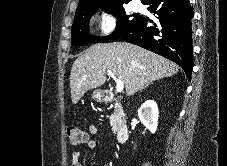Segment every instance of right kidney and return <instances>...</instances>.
Returning a JSON list of instances; mask_svg holds the SVG:
<instances>
[{"label":"right kidney","mask_w":227,"mask_h":166,"mask_svg":"<svg viewBox=\"0 0 227 166\" xmlns=\"http://www.w3.org/2000/svg\"><path fill=\"white\" fill-rule=\"evenodd\" d=\"M138 117L142 124L148 128L151 133L156 132L159 112L155 101L147 100L143 103L138 110Z\"/></svg>","instance_id":"obj_1"}]
</instances>
